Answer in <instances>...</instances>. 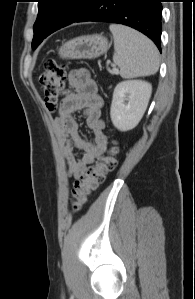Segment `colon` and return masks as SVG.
Returning a JSON list of instances; mask_svg holds the SVG:
<instances>
[{"instance_id": "colon-1", "label": "colon", "mask_w": 195, "mask_h": 299, "mask_svg": "<svg viewBox=\"0 0 195 299\" xmlns=\"http://www.w3.org/2000/svg\"><path fill=\"white\" fill-rule=\"evenodd\" d=\"M67 68L54 59L45 63L40 75V86L47 109L54 112L61 92L65 86ZM117 146L111 142L109 148L89 166L85 173L75 181L71 192V207L79 211L88 201L89 196L104 182L106 175L116 167Z\"/></svg>"}]
</instances>
